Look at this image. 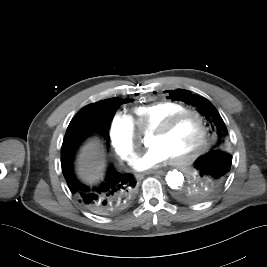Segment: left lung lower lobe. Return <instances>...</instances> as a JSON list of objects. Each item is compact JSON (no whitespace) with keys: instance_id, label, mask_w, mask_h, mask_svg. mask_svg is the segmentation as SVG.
<instances>
[{"instance_id":"0a47b994","label":"left lung lower lobe","mask_w":267,"mask_h":267,"mask_svg":"<svg viewBox=\"0 0 267 267\" xmlns=\"http://www.w3.org/2000/svg\"><path fill=\"white\" fill-rule=\"evenodd\" d=\"M233 169L232 156L227 153H213L188 164L184 177L190 184L187 191H182L178 197L190 202L208 199L210 193L217 191L225 183Z\"/></svg>"}]
</instances>
